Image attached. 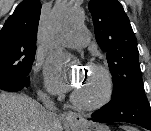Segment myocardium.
Listing matches in <instances>:
<instances>
[{
  "mask_svg": "<svg viewBox=\"0 0 151 131\" xmlns=\"http://www.w3.org/2000/svg\"><path fill=\"white\" fill-rule=\"evenodd\" d=\"M88 69L99 73L103 80L101 92L92 99H83L76 94L71 95L72 103L79 109L92 111L98 110L108 104L113 96L114 82L109 69L99 63H90Z\"/></svg>",
  "mask_w": 151,
  "mask_h": 131,
  "instance_id": "obj_1",
  "label": "myocardium"
}]
</instances>
